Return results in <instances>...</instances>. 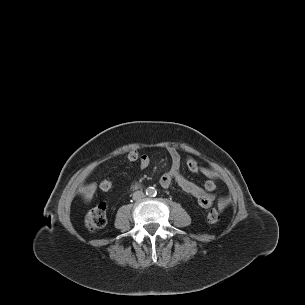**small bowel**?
Returning a JSON list of instances; mask_svg holds the SVG:
<instances>
[{"instance_id":"1","label":"small bowel","mask_w":305,"mask_h":305,"mask_svg":"<svg viewBox=\"0 0 305 305\" xmlns=\"http://www.w3.org/2000/svg\"><path fill=\"white\" fill-rule=\"evenodd\" d=\"M168 154L171 159L170 169L164 173L160 178V185L163 188H169L173 183H175L184 192L190 194L196 198L199 206L202 208H209L215 201L214 191L217 187V181L219 180V175L215 170L210 167L201 166L192 157H187L186 166L189 171L193 173L201 172L208 179L203 186H200L190 180H188L180 171L182 158L181 154L176 147L170 146L167 148ZM150 164V158L147 155H142L139 165L142 169H145ZM227 200L221 198L219 204L224 206Z\"/></svg>"}]
</instances>
